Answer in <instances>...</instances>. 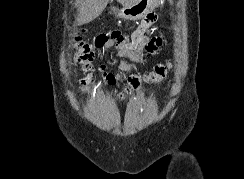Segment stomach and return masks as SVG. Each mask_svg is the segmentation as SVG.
<instances>
[{"mask_svg": "<svg viewBox=\"0 0 244 179\" xmlns=\"http://www.w3.org/2000/svg\"><path fill=\"white\" fill-rule=\"evenodd\" d=\"M155 3H158V0H122L121 4L124 6L122 10H117V8H111V10L124 20H140L144 18V14L151 12L150 9L145 8H155Z\"/></svg>", "mask_w": 244, "mask_h": 179, "instance_id": "0dacf381", "label": "stomach"}]
</instances>
